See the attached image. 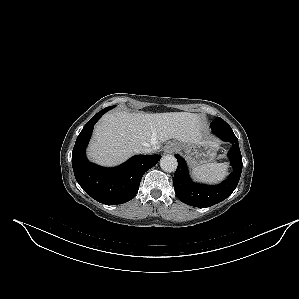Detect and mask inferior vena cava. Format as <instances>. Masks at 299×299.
I'll list each match as a JSON object with an SVG mask.
<instances>
[{
    "label": "inferior vena cava",
    "mask_w": 299,
    "mask_h": 299,
    "mask_svg": "<svg viewBox=\"0 0 299 299\" xmlns=\"http://www.w3.org/2000/svg\"><path fill=\"white\" fill-rule=\"evenodd\" d=\"M138 152L142 154H150L153 152V149L147 145V146L140 147Z\"/></svg>",
    "instance_id": "1"
}]
</instances>
